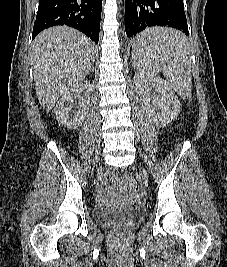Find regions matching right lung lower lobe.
Returning a JSON list of instances; mask_svg holds the SVG:
<instances>
[{
	"mask_svg": "<svg viewBox=\"0 0 227 267\" xmlns=\"http://www.w3.org/2000/svg\"><path fill=\"white\" fill-rule=\"evenodd\" d=\"M102 0H39L32 39L42 30L67 25L98 43Z\"/></svg>",
	"mask_w": 227,
	"mask_h": 267,
	"instance_id": "obj_1",
	"label": "right lung lower lobe"
}]
</instances>
